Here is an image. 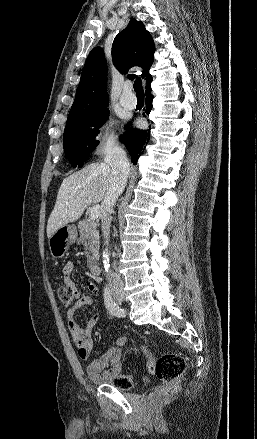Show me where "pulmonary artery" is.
Segmentation results:
<instances>
[{
  "label": "pulmonary artery",
  "instance_id": "e3ab8cb5",
  "mask_svg": "<svg viewBox=\"0 0 257 439\" xmlns=\"http://www.w3.org/2000/svg\"><path fill=\"white\" fill-rule=\"evenodd\" d=\"M119 103L127 109H133L136 106L137 100L135 95L132 94L129 85H124L119 97Z\"/></svg>",
  "mask_w": 257,
  "mask_h": 439
}]
</instances>
